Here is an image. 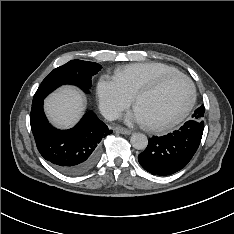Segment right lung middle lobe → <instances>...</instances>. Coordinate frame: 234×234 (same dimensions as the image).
<instances>
[{"instance_id":"dd1d6c3e","label":"right lung middle lobe","mask_w":234,"mask_h":234,"mask_svg":"<svg viewBox=\"0 0 234 234\" xmlns=\"http://www.w3.org/2000/svg\"><path fill=\"white\" fill-rule=\"evenodd\" d=\"M101 65L95 62L71 60L68 63L54 69L41 83L33 97V103L44 99L49 93L64 84H71L89 93L91 79Z\"/></svg>"}]
</instances>
